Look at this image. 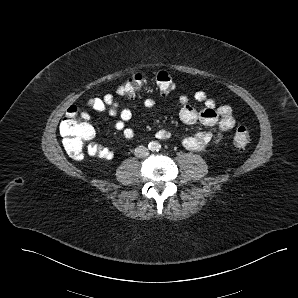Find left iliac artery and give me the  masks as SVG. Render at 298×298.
I'll list each match as a JSON object with an SVG mask.
<instances>
[{"label": "left iliac artery", "mask_w": 298, "mask_h": 298, "mask_svg": "<svg viewBox=\"0 0 298 298\" xmlns=\"http://www.w3.org/2000/svg\"><path fill=\"white\" fill-rule=\"evenodd\" d=\"M160 148H161V146L159 144H157V147H156L157 151H159Z\"/></svg>", "instance_id": "left-iliac-artery-1"}]
</instances>
